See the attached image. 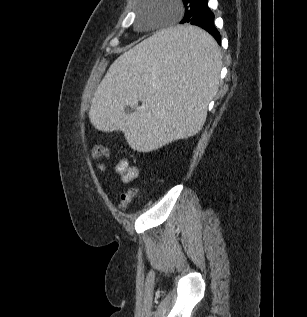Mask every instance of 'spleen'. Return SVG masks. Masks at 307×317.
Masks as SVG:
<instances>
[{
    "label": "spleen",
    "mask_w": 307,
    "mask_h": 317,
    "mask_svg": "<svg viewBox=\"0 0 307 317\" xmlns=\"http://www.w3.org/2000/svg\"><path fill=\"white\" fill-rule=\"evenodd\" d=\"M220 62L215 40L197 26L159 29L112 64L92 98L91 122L101 131L122 130L138 149L192 136L217 93ZM137 100L151 113L125 115L123 105Z\"/></svg>",
    "instance_id": "spleen-1"
}]
</instances>
